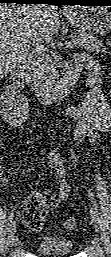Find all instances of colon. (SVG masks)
<instances>
[{"label": "colon", "instance_id": "obj_1", "mask_svg": "<svg viewBox=\"0 0 111 257\" xmlns=\"http://www.w3.org/2000/svg\"><path fill=\"white\" fill-rule=\"evenodd\" d=\"M66 226L69 228V229H72L74 228V222L72 220H69L68 222H66Z\"/></svg>", "mask_w": 111, "mask_h": 257}]
</instances>
